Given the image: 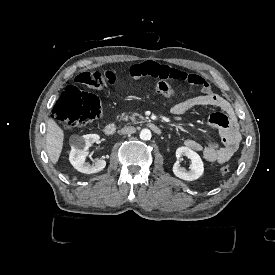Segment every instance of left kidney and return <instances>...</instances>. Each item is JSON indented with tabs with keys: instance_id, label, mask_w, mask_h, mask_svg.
<instances>
[{
	"instance_id": "obj_1",
	"label": "left kidney",
	"mask_w": 275,
	"mask_h": 275,
	"mask_svg": "<svg viewBox=\"0 0 275 275\" xmlns=\"http://www.w3.org/2000/svg\"><path fill=\"white\" fill-rule=\"evenodd\" d=\"M181 156H187L191 159L190 171H186L184 168L180 167L179 161H176L173 165V173L180 179L193 181L202 176L204 171L203 162L200 156L188 147H179L176 150V158L179 159Z\"/></svg>"
}]
</instances>
